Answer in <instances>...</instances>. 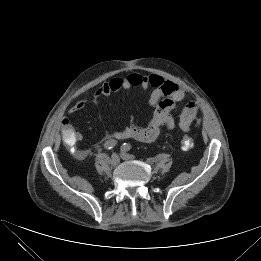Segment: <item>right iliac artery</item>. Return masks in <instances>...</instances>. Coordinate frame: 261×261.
Masks as SVG:
<instances>
[{"mask_svg":"<svg viewBox=\"0 0 261 261\" xmlns=\"http://www.w3.org/2000/svg\"><path fill=\"white\" fill-rule=\"evenodd\" d=\"M117 144V141L116 140H113V139H110V140H107L105 143H104V148L106 150H110V149H113Z\"/></svg>","mask_w":261,"mask_h":261,"instance_id":"right-iliac-artery-1","label":"right iliac artery"}]
</instances>
